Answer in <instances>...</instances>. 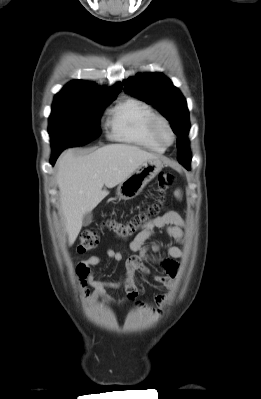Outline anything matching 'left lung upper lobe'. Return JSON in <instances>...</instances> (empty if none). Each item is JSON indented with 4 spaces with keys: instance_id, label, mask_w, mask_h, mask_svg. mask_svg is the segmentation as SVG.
<instances>
[{
    "instance_id": "5c2ea615",
    "label": "left lung upper lobe",
    "mask_w": 261,
    "mask_h": 399,
    "mask_svg": "<svg viewBox=\"0 0 261 399\" xmlns=\"http://www.w3.org/2000/svg\"><path fill=\"white\" fill-rule=\"evenodd\" d=\"M123 83L127 93L154 105L170 121L178 136L177 160L181 164H190L191 152L187 139L190 129L189 112L181 92L161 73L137 74Z\"/></svg>"
}]
</instances>
